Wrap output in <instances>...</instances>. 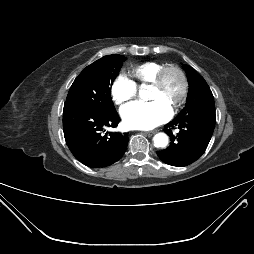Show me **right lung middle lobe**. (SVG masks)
<instances>
[{
    "label": "right lung middle lobe",
    "instance_id": "dd1d6c3e",
    "mask_svg": "<svg viewBox=\"0 0 254 254\" xmlns=\"http://www.w3.org/2000/svg\"><path fill=\"white\" fill-rule=\"evenodd\" d=\"M125 59L117 54L107 55L87 66L74 80L65 103L98 112L115 111L110 86Z\"/></svg>",
    "mask_w": 254,
    "mask_h": 254
}]
</instances>
